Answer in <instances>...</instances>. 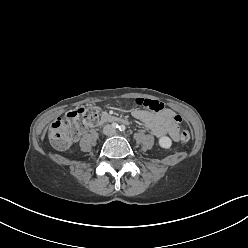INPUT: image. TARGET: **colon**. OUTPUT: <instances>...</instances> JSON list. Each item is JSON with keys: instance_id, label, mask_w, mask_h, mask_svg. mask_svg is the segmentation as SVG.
<instances>
[{"instance_id": "5ec220e1", "label": "colon", "mask_w": 248, "mask_h": 248, "mask_svg": "<svg viewBox=\"0 0 248 248\" xmlns=\"http://www.w3.org/2000/svg\"><path fill=\"white\" fill-rule=\"evenodd\" d=\"M135 104L147 107L154 111H160L165 106L155 100L137 98ZM98 119V111L93 106L82 107L69 112L65 117L56 119L49 129V140L52 146L58 150L67 149L72 141L76 140L80 134ZM176 122H180L179 116L175 117ZM190 134L186 129L181 132V140L188 142Z\"/></svg>"}]
</instances>
